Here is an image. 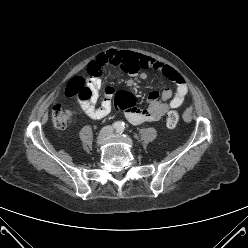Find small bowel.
I'll list each match as a JSON object with an SVG mask.
<instances>
[{"mask_svg":"<svg viewBox=\"0 0 248 248\" xmlns=\"http://www.w3.org/2000/svg\"><path fill=\"white\" fill-rule=\"evenodd\" d=\"M90 66H101L103 69H120L141 79L147 77V71H153L162 74L175 84L174 90L166 88L161 93L157 91L151 92L148 96L149 105L147 108L139 109L134 104L128 108L126 117L134 125L160 120L169 110L179 107L188 93L187 83L178 71L147 56L112 50L100 56ZM88 85L92 94L90 99L82 101V110L91 119H102L111 111V98L115 93V89L107 87L105 99L97 107L98 92L102 87V80L99 77H94L88 82Z\"/></svg>","mask_w":248,"mask_h":248,"instance_id":"c3829d8e","label":"small bowel"}]
</instances>
